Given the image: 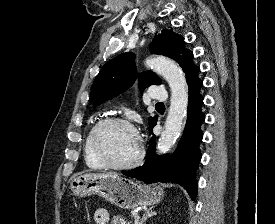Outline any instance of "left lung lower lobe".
I'll return each instance as SVG.
<instances>
[{
    "instance_id": "obj_1",
    "label": "left lung lower lobe",
    "mask_w": 275,
    "mask_h": 224,
    "mask_svg": "<svg viewBox=\"0 0 275 224\" xmlns=\"http://www.w3.org/2000/svg\"><path fill=\"white\" fill-rule=\"evenodd\" d=\"M199 71L198 68L186 79L189 87L187 122L175 154L172 158L167 155L158 157L155 153L156 141L155 135H153L145 163L124 173L128 177L136 178L147 184L156 182L178 183L187 190L192 200H195L197 195L195 173L201 160L199 143L203 138V133L200 127L205 120L201 111L204 97L199 92L203 85L202 80L197 76ZM155 125L156 122L151 125V128Z\"/></svg>"
}]
</instances>
